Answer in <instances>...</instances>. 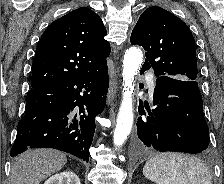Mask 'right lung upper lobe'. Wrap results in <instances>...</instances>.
<instances>
[{"instance_id": "cb5924a9", "label": "right lung upper lobe", "mask_w": 224, "mask_h": 184, "mask_svg": "<svg viewBox=\"0 0 224 184\" xmlns=\"http://www.w3.org/2000/svg\"><path fill=\"white\" fill-rule=\"evenodd\" d=\"M105 35L102 19L86 7L52 22L36 48L31 86L89 75L105 67L110 53Z\"/></svg>"}]
</instances>
